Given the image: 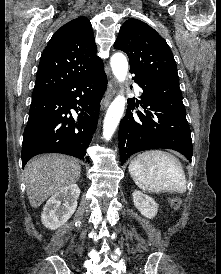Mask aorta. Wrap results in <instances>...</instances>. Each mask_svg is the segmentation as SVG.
<instances>
[{"mask_svg":"<svg viewBox=\"0 0 221 274\" xmlns=\"http://www.w3.org/2000/svg\"><path fill=\"white\" fill-rule=\"evenodd\" d=\"M112 72L118 82H124L128 72V62L126 57L118 52L110 59ZM125 97L123 92L118 94L110 104L103 122V137L109 141L113 136L125 109Z\"/></svg>","mask_w":221,"mask_h":274,"instance_id":"obj_1","label":"aorta"}]
</instances>
